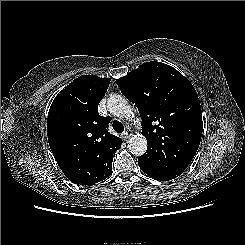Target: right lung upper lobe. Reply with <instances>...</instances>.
I'll return each mask as SVG.
<instances>
[{"label": "right lung upper lobe", "instance_id": "right-lung-upper-lobe-1", "mask_svg": "<svg viewBox=\"0 0 245 245\" xmlns=\"http://www.w3.org/2000/svg\"><path fill=\"white\" fill-rule=\"evenodd\" d=\"M110 79L84 75L65 87L48 114L47 135L59 167H74L79 184L90 186L102 176L95 160L99 153L113 154L122 140L108 132L110 117L100 116L99 102Z\"/></svg>", "mask_w": 245, "mask_h": 245}]
</instances>
